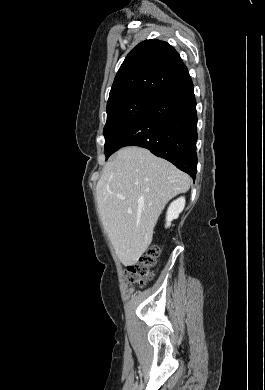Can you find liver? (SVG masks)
<instances>
[{"mask_svg":"<svg viewBox=\"0 0 265 390\" xmlns=\"http://www.w3.org/2000/svg\"><path fill=\"white\" fill-rule=\"evenodd\" d=\"M190 185L187 174L145 148H122L107 162L96 186L97 204L124 266L136 264L147 251L165 205Z\"/></svg>","mask_w":265,"mask_h":390,"instance_id":"1","label":"liver"}]
</instances>
